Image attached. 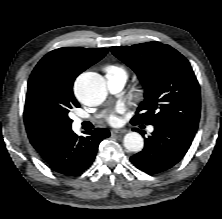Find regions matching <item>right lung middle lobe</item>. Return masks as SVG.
<instances>
[{"label": "right lung middle lobe", "mask_w": 222, "mask_h": 219, "mask_svg": "<svg viewBox=\"0 0 222 219\" xmlns=\"http://www.w3.org/2000/svg\"><path fill=\"white\" fill-rule=\"evenodd\" d=\"M31 107L38 114L71 125L68 117L77 100L69 95H57L51 87V73L47 67L39 68L30 78Z\"/></svg>", "instance_id": "1"}]
</instances>
